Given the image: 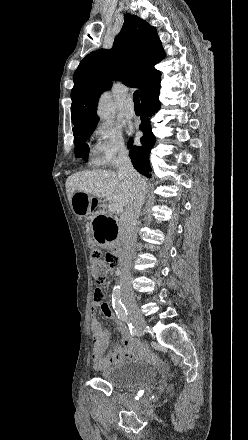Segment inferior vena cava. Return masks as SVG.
Segmentation results:
<instances>
[{
    "mask_svg": "<svg viewBox=\"0 0 248 440\" xmlns=\"http://www.w3.org/2000/svg\"><path fill=\"white\" fill-rule=\"evenodd\" d=\"M117 173L128 177L135 184V194L127 205L120 219L121 252L119 265L121 269V284L124 285L130 279L129 263L135 251L136 224L141 208L145 201L146 183L141 175L133 168L127 152H121L117 162Z\"/></svg>",
    "mask_w": 248,
    "mask_h": 440,
    "instance_id": "1",
    "label": "inferior vena cava"
}]
</instances>
